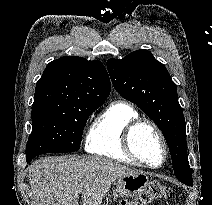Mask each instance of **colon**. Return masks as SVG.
Instances as JSON below:
<instances>
[{"label":"colon","instance_id":"obj_1","mask_svg":"<svg viewBox=\"0 0 212 205\" xmlns=\"http://www.w3.org/2000/svg\"><path fill=\"white\" fill-rule=\"evenodd\" d=\"M172 191L169 187L159 182H151L134 199L122 200L117 205H150L159 199H170Z\"/></svg>","mask_w":212,"mask_h":205}]
</instances>
